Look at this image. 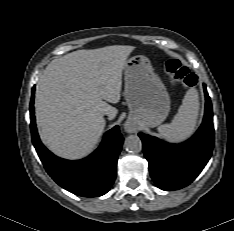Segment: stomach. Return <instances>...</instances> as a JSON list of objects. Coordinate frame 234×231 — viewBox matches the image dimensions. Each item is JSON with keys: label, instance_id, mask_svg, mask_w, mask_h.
Here are the masks:
<instances>
[{"label": "stomach", "instance_id": "1", "mask_svg": "<svg viewBox=\"0 0 234 231\" xmlns=\"http://www.w3.org/2000/svg\"><path fill=\"white\" fill-rule=\"evenodd\" d=\"M124 97L129 118L141 125L156 127L170 111V98L161 79L154 73L150 60L136 55L124 65Z\"/></svg>", "mask_w": 234, "mask_h": 231}]
</instances>
